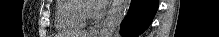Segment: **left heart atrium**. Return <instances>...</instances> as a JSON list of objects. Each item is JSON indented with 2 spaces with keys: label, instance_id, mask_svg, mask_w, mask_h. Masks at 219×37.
<instances>
[{
  "label": "left heart atrium",
  "instance_id": "left-heart-atrium-1",
  "mask_svg": "<svg viewBox=\"0 0 219 37\" xmlns=\"http://www.w3.org/2000/svg\"><path fill=\"white\" fill-rule=\"evenodd\" d=\"M94 3L96 6H101L104 3V1L103 0H94Z\"/></svg>",
  "mask_w": 219,
  "mask_h": 37
}]
</instances>
